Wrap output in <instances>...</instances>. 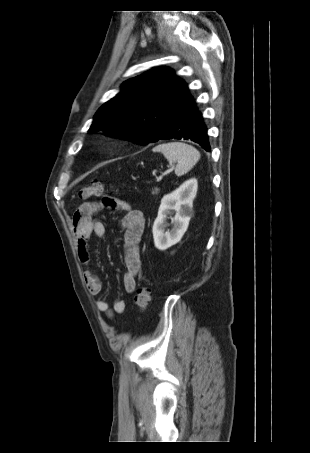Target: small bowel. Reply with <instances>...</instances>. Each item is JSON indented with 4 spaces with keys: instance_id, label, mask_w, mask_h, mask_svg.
I'll list each match as a JSON object with an SVG mask.
<instances>
[{
    "instance_id": "obj_1",
    "label": "small bowel",
    "mask_w": 310,
    "mask_h": 453,
    "mask_svg": "<svg viewBox=\"0 0 310 453\" xmlns=\"http://www.w3.org/2000/svg\"><path fill=\"white\" fill-rule=\"evenodd\" d=\"M112 206L117 207L123 213L121 226L124 230V261L126 272L123 277L124 288L127 293H133L137 285V276L141 270V259L139 254V242L141 240L145 220L140 210L124 200L113 201ZM101 205L97 202H85L75 211L72 218L73 233L77 241L79 258L84 265L90 262V252L88 240L92 234L103 237L105 226L102 222L93 218L94 214L100 209ZM85 284L92 295H98L102 290V282L99 276L91 269L86 268L83 272ZM97 309L113 317L115 314H122L126 309L123 300H116L111 307L104 299L96 300Z\"/></svg>"
}]
</instances>
